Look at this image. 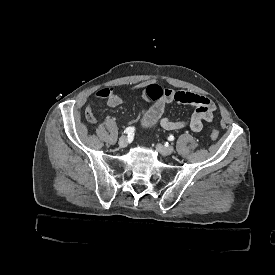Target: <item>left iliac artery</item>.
<instances>
[{"mask_svg": "<svg viewBox=\"0 0 275 275\" xmlns=\"http://www.w3.org/2000/svg\"><path fill=\"white\" fill-rule=\"evenodd\" d=\"M168 140H169V141H173V140H174V136L170 135V136L168 137Z\"/></svg>", "mask_w": 275, "mask_h": 275, "instance_id": "left-iliac-artery-1", "label": "left iliac artery"}]
</instances>
